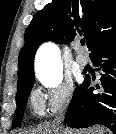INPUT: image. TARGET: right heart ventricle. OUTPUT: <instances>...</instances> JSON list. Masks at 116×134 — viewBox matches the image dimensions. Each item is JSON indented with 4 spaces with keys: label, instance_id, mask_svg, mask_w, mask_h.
I'll use <instances>...</instances> for the list:
<instances>
[{
    "label": "right heart ventricle",
    "instance_id": "obj_1",
    "mask_svg": "<svg viewBox=\"0 0 116 134\" xmlns=\"http://www.w3.org/2000/svg\"><path fill=\"white\" fill-rule=\"evenodd\" d=\"M31 103H32V106H33L35 112H38V113L42 112V109L40 107L39 102L34 98L33 95H32V98H31Z\"/></svg>",
    "mask_w": 116,
    "mask_h": 134
}]
</instances>
